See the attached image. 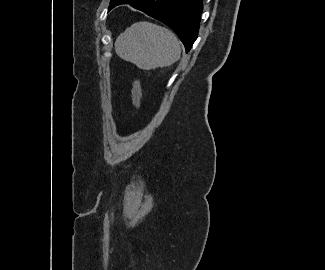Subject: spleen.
<instances>
[{
  "mask_svg": "<svg viewBox=\"0 0 325 270\" xmlns=\"http://www.w3.org/2000/svg\"><path fill=\"white\" fill-rule=\"evenodd\" d=\"M120 58L143 70L167 67L181 55V46L176 35L160 25L137 22L120 34L115 42Z\"/></svg>",
  "mask_w": 325,
  "mask_h": 270,
  "instance_id": "spleen-1",
  "label": "spleen"
}]
</instances>
